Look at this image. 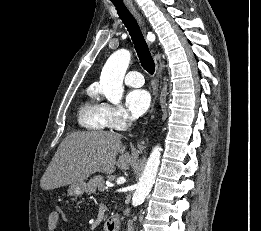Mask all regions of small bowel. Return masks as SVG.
<instances>
[{
  "label": "small bowel",
  "mask_w": 261,
  "mask_h": 231,
  "mask_svg": "<svg viewBox=\"0 0 261 231\" xmlns=\"http://www.w3.org/2000/svg\"><path fill=\"white\" fill-rule=\"evenodd\" d=\"M65 221L66 217L61 209H54L47 217V228L49 231H55L58 227L59 221Z\"/></svg>",
  "instance_id": "c3829d8e"
}]
</instances>
